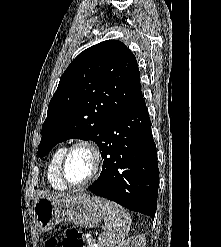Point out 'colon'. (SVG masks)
<instances>
[{"mask_svg": "<svg viewBox=\"0 0 221 247\" xmlns=\"http://www.w3.org/2000/svg\"><path fill=\"white\" fill-rule=\"evenodd\" d=\"M44 247H85V243L79 230L70 228L60 242L56 238H51L45 241Z\"/></svg>", "mask_w": 221, "mask_h": 247, "instance_id": "1", "label": "colon"}]
</instances>
